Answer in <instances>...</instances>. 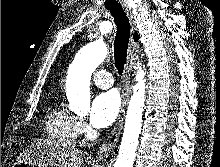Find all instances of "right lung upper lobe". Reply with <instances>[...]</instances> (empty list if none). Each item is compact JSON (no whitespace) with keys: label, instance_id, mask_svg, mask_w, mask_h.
Listing matches in <instances>:
<instances>
[{"label":"right lung upper lobe","instance_id":"cb5924a9","mask_svg":"<svg viewBox=\"0 0 220 167\" xmlns=\"http://www.w3.org/2000/svg\"><path fill=\"white\" fill-rule=\"evenodd\" d=\"M137 39H138V34L135 33V34H134V40L137 41Z\"/></svg>","mask_w":220,"mask_h":167}]
</instances>
